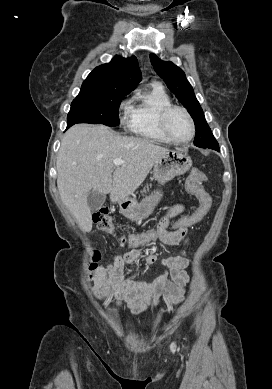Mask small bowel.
<instances>
[{"mask_svg": "<svg viewBox=\"0 0 272 389\" xmlns=\"http://www.w3.org/2000/svg\"><path fill=\"white\" fill-rule=\"evenodd\" d=\"M185 212V207L181 204L172 206L161 218L157 229L160 231L158 239L165 244L179 245L188 244L189 229L174 232H167L170 220ZM120 246H126L125 237L120 239ZM183 251L180 255L169 257L162 261L171 275L167 277V272H163L152 281L124 280L123 266L125 263H135L143 261L147 264H155L157 256L138 250L125 251L113 257L111 263L100 266L98 269V280L94 291L116 307L125 306L134 314L144 313L149 307L159 309L165 305L178 303L183 300L185 287L189 282L186 268L189 260Z\"/></svg>", "mask_w": 272, "mask_h": 389, "instance_id": "c3829d8e", "label": "small bowel"}]
</instances>
